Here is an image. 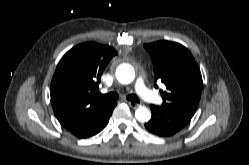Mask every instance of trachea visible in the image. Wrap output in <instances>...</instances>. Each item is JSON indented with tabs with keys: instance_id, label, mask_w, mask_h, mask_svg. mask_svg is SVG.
Masks as SVG:
<instances>
[{
	"instance_id": "3493384b",
	"label": "trachea",
	"mask_w": 249,
	"mask_h": 165,
	"mask_svg": "<svg viewBox=\"0 0 249 165\" xmlns=\"http://www.w3.org/2000/svg\"><path fill=\"white\" fill-rule=\"evenodd\" d=\"M98 96L100 98L105 99V100H111V101H115V100H117L119 98V95L116 92H111V93H108L106 95H102V94L99 93ZM127 99L129 101L139 102V98L135 94L128 95Z\"/></svg>"
}]
</instances>
